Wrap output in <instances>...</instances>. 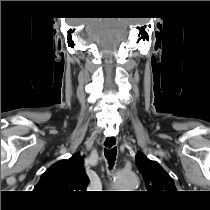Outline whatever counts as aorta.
<instances>
[{"instance_id":"762f6f07","label":"aorta","mask_w":210,"mask_h":210,"mask_svg":"<svg viewBox=\"0 0 210 210\" xmlns=\"http://www.w3.org/2000/svg\"><path fill=\"white\" fill-rule=\"evenodd\" d=\"M139 180L135 173L118 171L114 176V185L116 189L122 191H131L138 187Z\"/></svg>"}]
</instances>
